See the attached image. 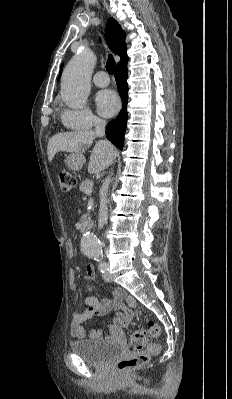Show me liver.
I'll list each match as a JSON object with an SVG mask.
<instances>
[{
	"mask_svg": "<svg viewBox=\"0 0 232 399\" xmlns=\"http://www.w3.org/2000/svg\"><path fill=\"white\" fill-rule=\"evenodd\" d=\"M96 136L91 130H76V132H67V134H56L50 138L47 146V156L49 162H52L57 152H71V154H83L87 148H90ZM117 150L110 142L100 140L95 144L88 166L89 174H99L106 170L112 164Z\"/></svg>",
	"mask_w": 232,
	"mask_h": 399,
	"instance_id": "liver-1",
	"label": "liver"
}]
</instances>
